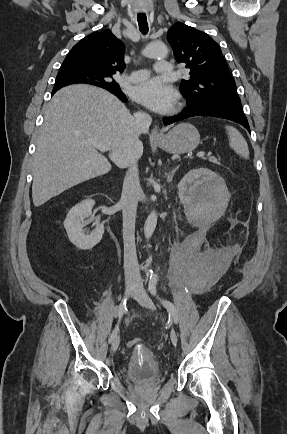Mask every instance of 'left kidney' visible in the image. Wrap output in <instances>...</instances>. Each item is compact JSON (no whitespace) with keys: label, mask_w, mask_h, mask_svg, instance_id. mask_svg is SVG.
<instances>
[{"label":"left kidney","mask_w":287,"mask_h":434,"mask_svg":"<svg viewBox=\"0 0 287 434\" xmlns=\"http://www.w3.org/2000/svg\"><path fill=\"white\" fill-rule=\"evenodd\" d=\"M182 204L194 210H210L217 219L229 202V192L222 177L207 168L190 170L178 184Z\"/></svg>","instance_id":"5707ae66"}]
</instances>
